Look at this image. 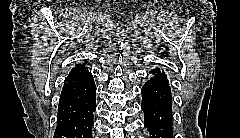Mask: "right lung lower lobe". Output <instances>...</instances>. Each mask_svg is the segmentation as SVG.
<instances>
[{
	"label": "right lung lower lobe",
	"mask_w": 240,
	"mask_h": 138,
	"mask_svg": "<svg viewBox=\"0 0 240 138\" xmlns=\"http://www.w3.org/2000/svg\"><path fill=\"white\" fill-rule=\"evenodd\" d=\"M95 95L96 86L91 73L64 84L54 138H92Z\"/></svg>",
	"instance_id": "98d812e1"
}]
</instances>
